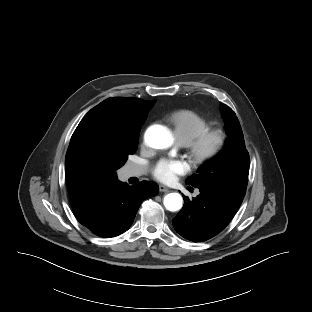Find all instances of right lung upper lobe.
I'll return each mask as SVG.
<instances>
[{
	"label": "right lung upper lobe",
	"instance_id": "1",
	"mask_svg": "<svg viewBox=\"0 0 312 312\" xmlns=\"http://www.w3.org/2000/svg\"><path fill=\"white\" fill-rule=\"evenodd\" d=\"M154 101L139 98L115 97L108 98L92 108L81 120L72 135L66 154V178L70 202L74 212L83 209L90 201L110 186L116 179H84L76 176L69 165L68 153L79 130L85 125L103 120L118 125H131L147 117L148 110Z\"/></svg>",
	"mask_w": 312,
	"mask_h": 312
}]
</instances>
